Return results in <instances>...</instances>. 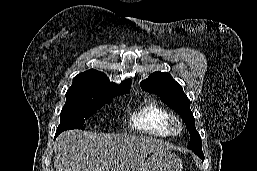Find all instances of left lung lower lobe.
<instances>
[{"instance_id": "1", "label": "left lung lower lobe", "mask_w": 257, "mask_h": 171, "mask_svg": "<svg viewBox=\"0 0 257 171\" xmlns=\"http://www.w3.org/2000/svg\"><path fill=\"white\" fill-rule=\"evenodd\" d=\"M197 156H199L202 160H204L203 152H194Z\"/></svg>"}]
</instances>
